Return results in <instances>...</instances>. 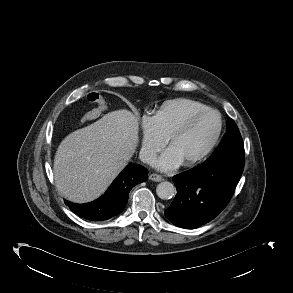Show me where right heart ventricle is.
I'll return each instance as SVG.
<instances>
[{
    "instance_id": "e07e8e85",
    "label": "right heart ventricle",
    "mask_w": 293,
    "mask_h": 293,
    "mask_svg": "<svg viewBox=\"0 0 293 293\" xmlns=\"http://www.w3.org/2000/svg\"><path fill=\"white\" fill-rule=\"evenodd\" d=\"M207 108L201 102L187 98H177L164 102L154 112L153 118L158 131L167 139L190 115Z\"/></svg>"
}]
</instances>
